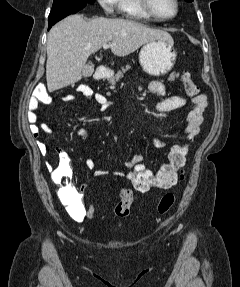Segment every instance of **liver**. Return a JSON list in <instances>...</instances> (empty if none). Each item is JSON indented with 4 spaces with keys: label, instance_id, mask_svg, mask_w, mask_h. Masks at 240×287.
<instances>
[{
    "label": "liver",
    "instance_id": "liver-1",
    "mask_svg": "<svg viewBox=\"0 0 240 287\" xmlns=\"http://www.w3.org/2000/svg\"><path fill=\"white\" fill-rule=\"evenodd\" d=\"M159 39L173 41L168 32L133 20L104 17L85 20L82 15H70L48 33V91L53 92L81 80L88 57L104 44L111 43L112 53L121 57Z\"/></svg>",
    "mask_w": 240,
    "mask_h": 287
}]
</instances>
